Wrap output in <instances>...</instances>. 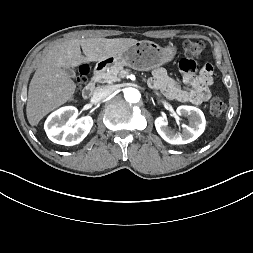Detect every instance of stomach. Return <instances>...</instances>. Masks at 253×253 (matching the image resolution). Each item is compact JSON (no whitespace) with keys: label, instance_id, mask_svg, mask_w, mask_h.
<instances>
[{"label":"stomach","instance_id":"1","mask_svg":"<svg viewBox=\"0 0 253 253\" xmlns=\"http://www.w3.org/2000/svg\"><path fill=\"white\" fill-rule=\"evenodd\" d=\"M176 54V47H160L152 41H138L127 50L99 61L104 70L112 66H128L139 71H148L171 61Z\"/></svg>","mask_w":253,"mask_h":253}]
</instances>
